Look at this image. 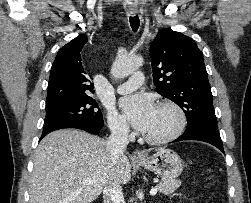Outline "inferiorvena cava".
Wrapping results in <instances>:
<instances>
[{
	"mask_svg": "<svg viewBox=\"0 0 251 203\" xmlns=\"http://www.w3.org/2000/svg\"><path fill=\"white\" fill-rule=\"evenodd\" d=\"M129 128L125 123H116L111 127V135L107 142L114 163L123 155L128 140ZM104 203H123L122 187L118 183H111L104 188Z\"/></svg>",
	"mask_w": 251,
	"mask_h": 203,
	"instance_id": "602c4592",
	"label": "inferior vena cava"
}]
</instances>
